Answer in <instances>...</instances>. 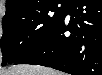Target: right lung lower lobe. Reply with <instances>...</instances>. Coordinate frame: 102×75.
<instances>
[{
	"mask_svg": "<svg viewBox=\"0 0 102 75\" xmlns=\"http://www.w3.org/2000/svg\"><path fill=\"white\" fill-rule=\"evenodd\" d=\"M101 7L97 0H69L66 15H71L70 20L65 16L37 47L14 64L42 65L72 75H101Z\"/></svg>",
	"mask_w": 102,
	"mask_h": 75,
	"instance_id": "98d812e1",
	"label": "right lung lower lobe"
}]
</instances>
